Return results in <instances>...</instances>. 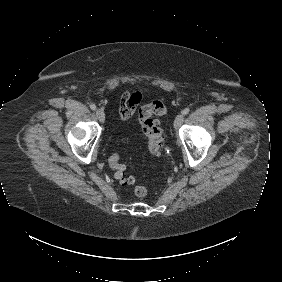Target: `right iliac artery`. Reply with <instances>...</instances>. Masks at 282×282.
Returning <instances> with one entry per match:
<instances>
[{
    "label": "right iliac artery",
    "mask_w": 282,
    "mask_h": 282,
    "mask_svg": "<svg viewBox=\"0 0 282 282\" xmlns=\"http://www.w3.org/2000/svg\"><path fill=\"white\" fill-rule=\"evenodd\" d=\"M90 108H91L92 110H96V105H95V104H90Z\"/></svg>",
    "instance_id": "obj_1"
}]
</instances>
